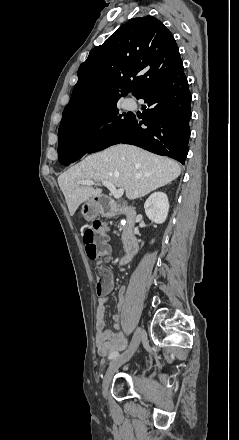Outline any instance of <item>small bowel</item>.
<instances>
[{
  "label": "small bowel",
  "mask_w": 239,
  "mask_h": 440,
  "mask_svg": "<svg viewBox=\"0 0 239 440\" xmlns=\"http://www.w3.org/2000/svg\"><path fill=\"white\" fill-rule=\"evenodd\" d=\"M109 285L107 290L101 294L98 299V304L96 308V346L99 355L107 356L113 352H119L127 346V339L121 328V317L119 314L113 316L114 325L112 330L105 328V307L107 299L104 296L107 294L113 286L112 276L108 271ZM125 291L124 287L120 288V296L123 295Z\"/></svg>",
  "instance_id": "obj_1"
}]
</instances>
